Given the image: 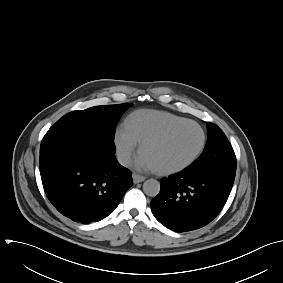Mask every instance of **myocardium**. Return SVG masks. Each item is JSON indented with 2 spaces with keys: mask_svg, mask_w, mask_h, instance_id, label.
I'll return each instance as SVG.
<instances>
[{
  "mask_svg": "<svg viewBox=\"0 0 283 283\" xmlns=\"http://www.w3.org/2000/svg\"><path fill=\"white\" fill-rule=\"evenodd\" d=\"M188 124L195 126L201 134V141H200V144H199L197 150L194 152V154L189 159H187L185 162H183L180 165H177V166H174V167H171V168L156 169L158 174L164 175V176L174 175V174L180 173V172L186 170L187 168H189L190 166H192L198 160V158L201 156V154L203 153V151L206 147L207 135H206L205 130L196 121L190 120V119H184L180 122L174 123V124L166 127L162 131H160V132H158V133H156L152 136L145 138L141 142L140 150L143 151L144 148L148 144L161 141L164 138H166L172 131L177 129L178 127L183 126V125H188Z\"/></svg>",
  "mask_w": 283,
  "mask_h": 283,
  "instance_id": "myocardium-1",
  "label": "myocardium"
}]
</instances>
